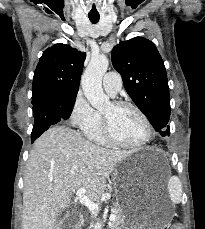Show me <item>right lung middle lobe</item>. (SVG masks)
I'll list each match as a JSON object with an SVG mask.
<instances>
[{"instance_id": "obj_1", "label": "right lung middle lobe", "mask_w": 205, "mask_h": 229, "mask_svg": "<svg viewBox=\"0 0 205 229\" xmlns=\"http://www.w3.org/2000/svg\"><path fill=\"white\" fill-rule=\"evenodd\" d=\"M67 95H68L70 98H72L73 100H75V99H76L77 92L69 93V94H67ZM50 97H51V96H50ZM46 98H48V97H46ZM46 98H43V99L38 100V101H32V104L35 105V104L39 103L40 101H42V100H44V99H46Z\"/></svg>"}]
</instances>
